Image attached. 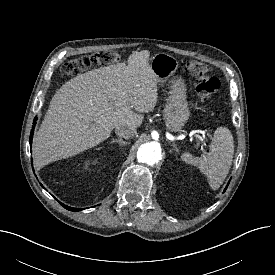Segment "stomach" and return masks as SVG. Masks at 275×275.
<instances>
[{"label":"stomach","mask_w":275,"mask_h":275,"mask_svg":"<svg viewBox=\"0 0 275 275\" xmlns=\"http://www.w3.org/2000/svg\"><path fill=\"white\" fill-rule=\"evenodd\" d=\"M150 67L163 84L170 82V91L164 108V120L169 131L180 132L189 119L190 111L186 100V85L181 76H174L178 68V61L166 53H157L151 58Z\"/></svg>","instance_id":"1"}]
</instances>
